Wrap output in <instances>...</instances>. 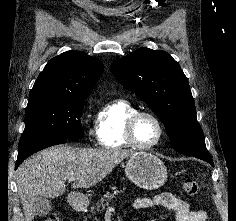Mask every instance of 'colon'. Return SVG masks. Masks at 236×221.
<instances>
[{
  "label": "colon",
  "instance_id": "obj_1",
  "mask_svg": "<svg viewBox=\"0 0 236 221\" xmlns=\"http://www.w3.org/2000/svg\"><path fill=\"white\" fill-rule=\"evenodd\" d=\"M183 190L187 196L193 197L199 193L200 186H199V183L195 179L186 178L183 182ZM42 221H62V219H60L56 215H50Z\"/></svg>",
  "mask_w": 236,
  "mask_h": 221
}]
</instances>
